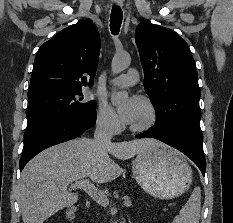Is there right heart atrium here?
Wrapping results in <instances>:
<instances>
[{"label": "right heart atrium", "instance_id": "right-heart-atrium-1", "mask_svg": "<svg viewBox=\"0 0 233 223\" xmlns=\"http://www.w3.org/2000/svg\"><path fill=\"white\" fill-rule=\"evenodd\" d=\"M96 125L101 131L109 134L118 133L121 127L119 119L113 110L105 103L99 105Z\"/></svg>", "mask_w": 233, "mask_h": 223}]
</instances>
